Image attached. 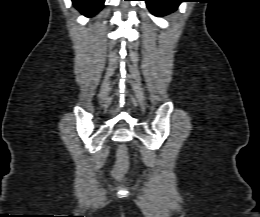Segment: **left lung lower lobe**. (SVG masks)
I'll list each match as a JSON object with an SVG mask.
<instances>
[{"label": "left lung lower lobe", "instance_id": "obj_1", "mask_svg": "<svg viewBox=\"0 0 260 217\" xmlns=\"http://www.w3.org/2000/svg\"><path fill=\"white\" fill-rule=\"evenodd\" d=\"M147 8L158 17L172 13L177 9L182 0H144Z\"/></svg>", "mask_w": 260, "mask_h": 217}]
</instances>
